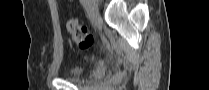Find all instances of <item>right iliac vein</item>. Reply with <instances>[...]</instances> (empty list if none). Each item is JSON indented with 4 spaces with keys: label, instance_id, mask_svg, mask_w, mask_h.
<instances>
[{
    "label": "right iliac vein",
    "instance_id": "right-iliac-vein-1",
    "mask_svg": "<svg viewBox=\"0 0 209 90\" xmlns=\"http://www.w3.org/2000/svg\"><path fill=\"white\" fill-rule=\"evenodd\" d=\"M88 7L90 9L91 14L94 17H97L98 16V6H97L96 1H94V0L88 1Z\"/></svg>",
    "mask_w": 209,
    "mask_h": 90
}]
</instances>
